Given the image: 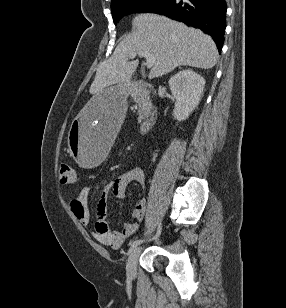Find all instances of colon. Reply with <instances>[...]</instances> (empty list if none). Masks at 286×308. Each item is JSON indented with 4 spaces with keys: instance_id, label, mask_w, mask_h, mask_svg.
Segmentation results:
<instances>
[{
    "instance_id": "obj_1",
    "label": "colon",
    "mask_w": 286,
    "mask_h": 308,
    "mask_svg": "<svg viewBox=\"0 0 286 308\" xmlns=\"http://www.w3.org/2000/svg\"><path fill=\"white\" fill-rule=\"evenodd\" d=\"M58 178L63 185H74L77 182L76 170L70 165H61L58 172Z\"/></svg>"
}]
</instances>
